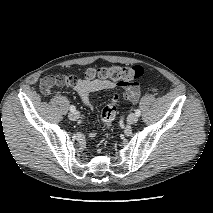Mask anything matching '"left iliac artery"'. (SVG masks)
I'll return each instance as SVG.
<instances>
[{"label": "left iliac artery", "instance_id": "44dca946", "mask_svg": "<svg viewBox=\"0 0 213 213\" xmlns=\"http://www.w3.org/2000/svg\"><path fill=\"white\" fill-rule=\"evenodd\" d=\"M135 115H136L137 117H139V116L141 115V111H140L139 109H136V110H135Z\"/></svg>", "mask_w": 213, "mask_h": 213}]
</instances>
